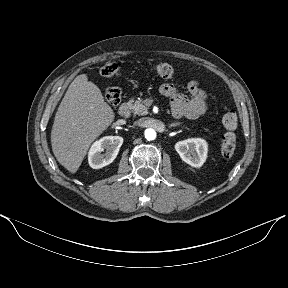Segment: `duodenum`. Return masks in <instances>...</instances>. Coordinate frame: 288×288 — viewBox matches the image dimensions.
Returning a JSON list of instances; mask_svg holds the SVG:
<instances>
[{
	"label": "duodenum",
	"instance_id": "obj_1",
	"mask_svg": "<svg viewBox=\"0 0 288 288\" xmlns=\"http://www.w3.org/2000/svg\"><path fill=\"white\" fill-rule=\"evenodd\" d=\"M119 115L122 117H128L130 115V105L126 102L122 103L119 107Z\"/></svg>",
	"mask_w": 288,
	"mask_h": 288
}]
</instances>
